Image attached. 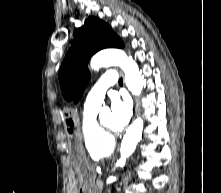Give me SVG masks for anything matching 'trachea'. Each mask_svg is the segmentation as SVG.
I'll list each match as a JSON object with an SVG mask.
<instances>
[{
	"mask_svg": "<svg viewBox=\"0 0 221 193\" xmlns=\"http://www.w3.org/2000/svg\"><path fill=\"white\" fill-rule=\"evenodd\" d=\"M119 84H123L122 78L119 79Z\"/></svg>",
	"mask_w": 221,
	"mask_h": 193,
	"instance_id": "trachea-1",
	"label": "trachea"
}]
</instances>
